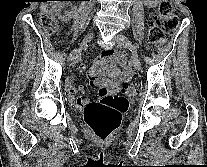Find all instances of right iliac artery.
I'll use <instances>...</instances> for the list:
<instances>
[{"instance_id": "obj_1", "label": "right iliac artery", "mask_w": 207, "mask_h": 167, "mask_svg": "<svg viewBox=\"0 0 207 167\" xmlns=\"http://www.w3.org/2000/svg\"><path fill=\"white\" fill-rule=\"evenodd\" d=\"M75 52H76V49L71 52L70 57H69L70 60L72 59V57L75 54Z\"/></svg>"}]
</instances>
